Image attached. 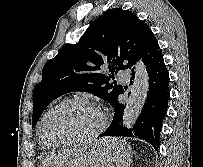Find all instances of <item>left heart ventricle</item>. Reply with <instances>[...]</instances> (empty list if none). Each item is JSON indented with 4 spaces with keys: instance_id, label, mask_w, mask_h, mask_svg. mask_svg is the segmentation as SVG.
<instances>
[{
    "instance_id": "left-heart-ventricle-1",
    "label": "left heart ventricle",
    "mask_w": 203,
    "mask_h": 167,
    "mask_svg": "<svg viewBox=\"0 0 203 167\" xmlns=\"http://www.w3.org/2000/svg\"><path fill=\"white\" fill-rule=\"evenodd\" d=\"M99 116L88 105L71 103L49 115L44 125L51 141H66L83 137L97 128Z\"/></svg>"
}]
</instances>
